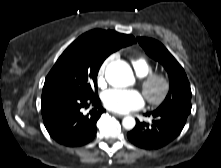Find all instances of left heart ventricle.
<instances>
[{"mask_svg": "<svg viewBox=\"0 0 221 168\" xmlns=\"http://www.w3.org/2000/svg\"><path fill=\"white\" fill-rule=\"evenodd\" d=\"M158 91H159V86H158V85L154 86V87H153V91H152L153 94H157Z\"/></svg>", "mask_w": 221, "mask_h": 168, "instance_id": "left-heart-ventricle-1", "label": "left heart ventricle"}]
</instances>
